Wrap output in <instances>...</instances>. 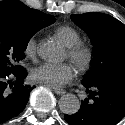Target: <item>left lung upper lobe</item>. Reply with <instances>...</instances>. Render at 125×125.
<instances>
[{
    "label": "left lung upper lobe",
    "mask_w": 125,
    "mask_h": 125,
    "mask_svg": "<svg viewBox=\"0 0 125 125\" xmlns=\"http://www.w3.org/2000/svg\"><path fill=\"white\" fill-rule=\"evenodd\" d=\"M71 19L89 36L94 61L83 84L91 85L107 77H125V25L103 13L72 14Z\"/></svg>",
    "instance_id": "obj_1"
}]
</instances>
